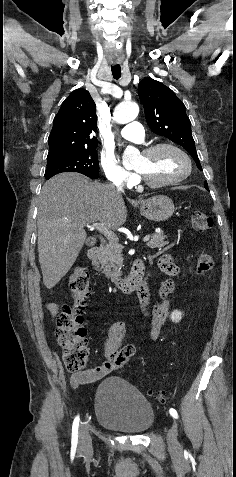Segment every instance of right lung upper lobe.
Returning a JSON list of instances; mask_svg holds the SVG:
<instances>
[{"label":"right lung upper lobe","mask_w":236,"mask_h":477,"mask_svg":"<svg viewBox=\"0 0 236 477\" xmlns=\"http://www.w3.org/2000/svg\"><path fill=\"white\" fill-rule=\"evenodd\" d=\"M96 105L88 91L77 89L63 102L49 135L47 160L75 153L81 148L97 145Z\"/></svg>","instance_id":"right-lung-upper-lobe-1"}]
</instances>
